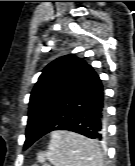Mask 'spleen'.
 <instances>
[{
    "mask_svg": "<svg viewBox=\"0 0 135 166\" xmlns=\"http://www.w3.org/2000/svg\"><path fill=\"white\" fill-rule=\"evenodd\" d=\"M37 160L47 166L48 160L54 166H104L99 145L91 139L68 131H54L48 150L41 152Z\"/></svg>",
    "mask_w": 135,
    "mask_h": 166,
    "instance_id": "3e777b00",
    "label": "spleen"
}]
</instances>
